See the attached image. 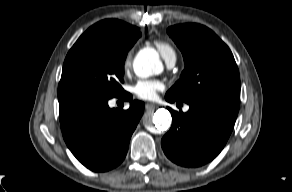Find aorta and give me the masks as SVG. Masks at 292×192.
<instances>
[{
    "instance_id": "762f6f07",
    "label": "aorta",
    "mask_w": 292,
    "mask_h": 192,
    "mask_svg": "<svg viewBox=\"0 0 292 192\" xmlns=\"http://www.w3.org/2000/svg\"><path fill=\"white\" fill-rule=\"evenodd\" d=\"M133 69L135 74L141 78H147L151 75L161 72V63L158 53L154 49L141 50L134 59ZM171 115L164 108L158 109L153 117L146 121V126L151 128L155 126L160 131H165L171 124Z\"/></svg>"
}]
</instances>
